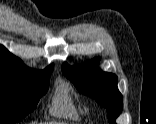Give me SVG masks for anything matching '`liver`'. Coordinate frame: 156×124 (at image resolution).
<instances>
[{"label":"liver","mask_w":156,"mask_h":124,"mask_svg":"<svg viewBox=\"0 0 156 124\" xmlns=\"http://www.w3.org/2000/svg\"><path fill=\"white\" fill-rule=\"evenodd\" d=\"M46 124V123H44ZM47 124H63V123H58V122H50V123H47Z\"/></svg>","instance_id":"6515ba94"}]
</instances>
